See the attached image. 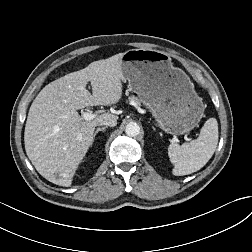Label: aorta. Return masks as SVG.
Wrapping results in <instances>:
<instances>
[{
	"instance_id": "762f6f07",
	"label": "aorta",
	"mask_w": 252,
	"mask_h": 252,
	"mask_svg": "<svg viewBox=\"0 0 252 252\" xmlns=\"http://www.w3.org/2000/svg\"><path fill=\"white\" fill-rule=\"evenodd\" d=\"M125 133L129 137H136L140 134V126L135 122H130L126 125Z\"/></svg>"
}]
</instances>
